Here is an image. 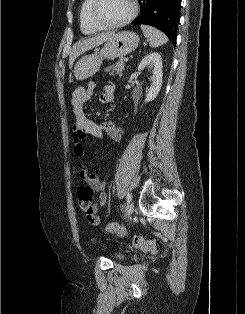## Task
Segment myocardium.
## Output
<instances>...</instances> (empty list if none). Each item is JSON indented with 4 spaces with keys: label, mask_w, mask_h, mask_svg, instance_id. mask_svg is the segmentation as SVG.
Here are the masks:
<instances>
[{
    "label": "myocardium",
    "mask_w": 245,
    "mask_h": 314,
    "mask_svg": "<svg viewBox=\"0 0 245 314\" xmlns=\"http://www.w3.org/2000/svg\"><path fill=\"white\" fill-rule=\"evenodd\" d=\"M99 1L100 0H93L92 6H91V18L94 21V23L97 26L101 27L102 29H115V28L123 27L127 25L128 23H130L137 16V13H138L137 2L136 0H130L131 12L127 17H125L121 21L114 22V23L103 22L98 15Z\"/></svg>",
    "instance_id": "obj_1"
}]
</instances>
